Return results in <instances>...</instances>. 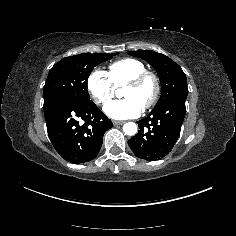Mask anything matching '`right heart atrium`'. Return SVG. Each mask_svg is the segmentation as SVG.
Returning <instances> with one entry per match:
<instances>
[{
	"label": "right heart atrium",
	"mask_w": 236,
	"mask_h": 236,
	"mask_svg": "<svg viewBox=\"0 0 236 236\" xmlns=\"http://www.w3.org/2000/svg\"><path fill=\"white\" fill-rule=\"evenodd\" d=\"M87 87L94 103L100 107L106 106L118 91L109 74L101 70L91 72Z\"/></svg>",
	"instance_id": "d8ad5b80"
}]
</instances>
